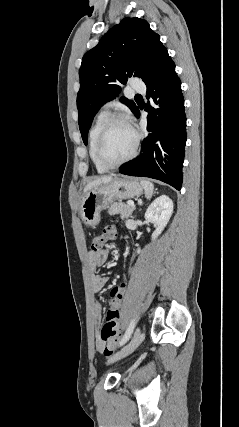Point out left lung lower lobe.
Instances as JSON below:
<instances>
[{
	"label": "left lung lower lobe",
	"mask_w": 239,
	"mask_h": 427,
	"mask_svg": "<svg viewBox=\"0 0 239 427\" xmlns=\"http://www.w3.org/2000/svg\"><path fill=\"white\" fill-rule=\"evenodd\" d=\"M147 86L145 105L149 112L147 137L140 155L121 166L119 172L130 176L150 177L181 189L186 144V116L181 81L170 61ZM140 116L139 110L135 113Z\"/></svg>",
	"instance_id": "left-lung-lower-lobe-1"
}]
</instances>
